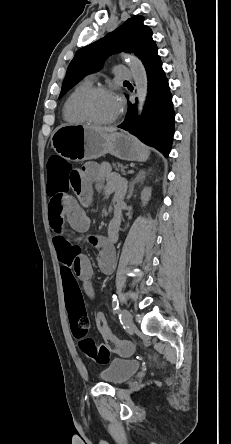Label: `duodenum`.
<instances>
[{"mask_svg":"<svg viewBox=\"0 0 231 444\" xmlns=\"http://www.w3.org/2000/svg\"><path fill=\"white\" fill-rule=\"evenodd\" d=\"M119 219H120L119 212L116 211L112 217L111 225L114 226L118 222Z\"/></svg>","mask_w":231,"mask_h":444,"instance_id":"obj_1","label":"duodenum"}]
</instances>
